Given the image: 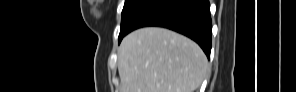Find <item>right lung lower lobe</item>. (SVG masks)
Segmentation results:
<instances>
[{"label":"right lung lower lobe","mask_w":296,"mask_h":92,"mask_svg":"<svg viewBox=\"0 0 296 92\" xmlns=\"http://www.w3.org/2000/svg\"><path fill=\"white\" fill-rule=\"evenodd\" d=\"M145 26L179 32L197 42L210 57L212 21L208 0H154L135 20L131 31Z\"/></svg>","instance_id":"1"}]
</instances>
